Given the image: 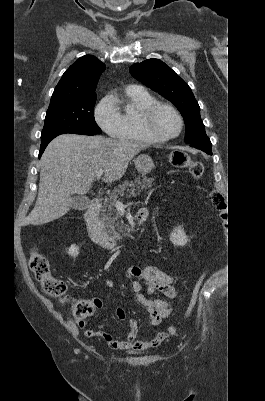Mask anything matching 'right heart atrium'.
<instances>
[{"label":"right heart atrium","mask_w":265,"mask_h":401,"mask_svg":"<svg viewBox=\"0 0 265 401\" xmlns=\"http://www.w3.org/2000/svg\"><path fill=\"white\" fill-rule=\"evenodd\" d=\"M94 118L106 133L117 134L121 126V116L113 97L107 95L100 99L94 109Z\"/></svg>","instance_id":"1"}]
</instances>
